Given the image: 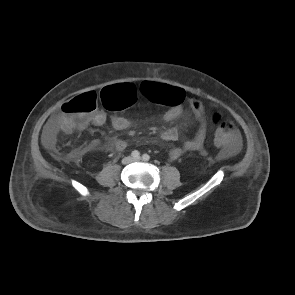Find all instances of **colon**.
<instances>
[{"mask_svg":"<svg viewBox=\"0 0 295 295\" xmlns=\"http://www.w3.org/2000/svg\"><path fill=\"white\" fill-rule=\"evenodd\" d=\"M138 93L154 103L174 105L181 100L180 92L163 84L146 82L139 90L130 83H118L105 87L99 95L89 92L70 99L61 106L58 117L59 128L63 132H72L101 104L111 111L124 110L133 105ZM215 125V142L219 145L233 146L238 140V133L232 123L225 122L219 114L212 116Z\"/></svg>","mask_w":295,"mask_h":295,"instance_id":"colon-1","label":"colon"}]
</instances>
